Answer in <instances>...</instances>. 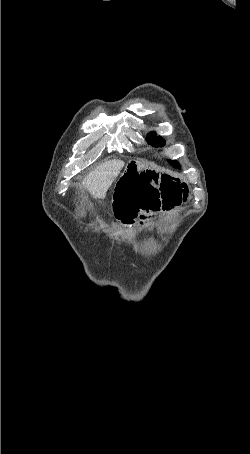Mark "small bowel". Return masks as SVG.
I'll use <instances>...</instances> for the list:
<instances>
[{"label":"small bowel","mask_w":250,"mask_h":454,"mask_svg":"<svg viewBox=\"0 0 250 454\" xmlns=\"http://www.w3.org/2000/svg\"><path fill=\"white\" fill-rule=\"evenodd\" d=\"M187 186L168 175L152 171H127L116 182L113 208L123 224L147 222L158 212L168 211L186 200Z\"/></svg>","instance_id":"c3829d8e"}]
</instances>
